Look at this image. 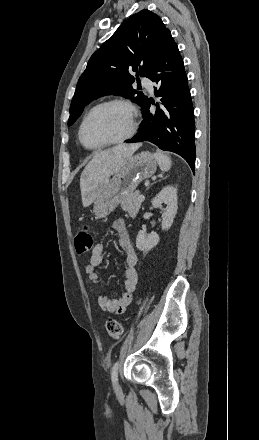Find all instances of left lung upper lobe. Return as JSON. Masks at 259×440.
I'll return each mask as SVG.
<instances>
[{"instance_id":"1","label":"left lung upper lobe","mask_w":259,"mask_h":440,"mask_svg":"<svg viewBox=\"0 0 259 440\" xmlns=\"http://www.w3.org/2000/svg\"><path fill=\"white\" fill-rule=\"evenodd\" d=\"M171 34L160 17L142 10L128 18L90 58L81 75L70 105L68 125H72L84 106L100 96L121 95L142 109L148 98L132 88L135 72L148 77L166 37Z\"/></svg>"}]
</instances>
